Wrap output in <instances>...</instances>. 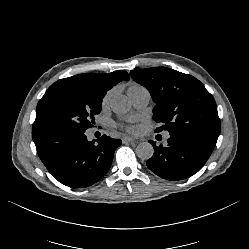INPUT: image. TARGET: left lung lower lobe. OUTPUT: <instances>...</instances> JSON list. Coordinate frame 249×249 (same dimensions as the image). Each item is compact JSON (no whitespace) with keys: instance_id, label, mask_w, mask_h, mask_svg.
Instances as JSON below:
<instances>
[{"instance_id":"obj_1","label":"left lung lower lobe","mask_w":249,"mask_h":249,"mask_svg":"<svg viewBox=\"0 0 249 249\" xmlns=\"http://www.w3.org/2000/svg\"><path fill=\"white\" fill-rule=\"evenodd\" d=\"M167 146L156 145L153 156L147 160V167L166 180H182L197 173L210 157L217 134L193 129L169 132Z\"/></svg>"}]
</instances>
